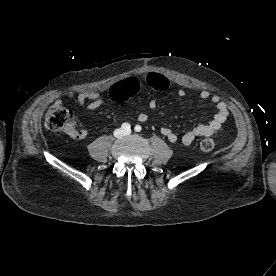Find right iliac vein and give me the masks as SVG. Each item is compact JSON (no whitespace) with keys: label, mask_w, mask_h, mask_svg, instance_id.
<instances>
[{"label":"right iliac vein","mask_w":276,"mask_h":276,"mask_svg":"<svg viewBox=\"0 0 276 276\" xmlns=\"http://www.w3.org/2000/svg\"><path fill=\"white\" fill-rule=\"evenodd\" d=\"M123 134H124V131L122 129H117L114 132V136L117 137V138L123 136Z\"/></svg>","instance_id":"obj_1"}]
</instances>
